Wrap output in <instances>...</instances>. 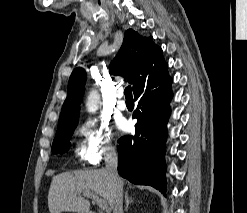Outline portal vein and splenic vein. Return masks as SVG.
<instances>
[{"mask_svg":"<svg viewBox=\"0 0 247 213\" xmlns=\"http://www.w3.org/2000/svg\"><path fill=\"white\" fill-rule=\"evenodd\" d=\"M86 197L93 199L99 206L100 209L102 210H107L108 209V203L106 200L101 199L98 197V195L94 194V193H86L85 194Z\"/></svg>","mask_w":247,"mask_h":213,"instance_id":"18ae733b","label":"portal vein and splenic vein"}]
</instances>
